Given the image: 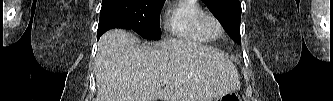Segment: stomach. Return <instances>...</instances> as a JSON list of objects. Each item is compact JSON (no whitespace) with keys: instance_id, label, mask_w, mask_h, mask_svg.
<instances>
[{"instance_id":"obj_1","label":"stomach","mask_w":333,"mask_h":101,"mask_svg":"<svg viewBox=\"0 0 333 101\" xmlns=\"http://www.w3.org/2000/svg\"><path fill=\"white\" fill-rule=\"evenodd\" d=\"M215 101H240V99L238 93L235 90H232L220 96Z\"/></svg>"}]
</instances>
